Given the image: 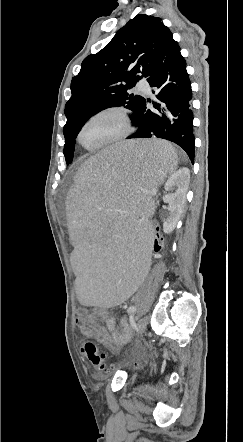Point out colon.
Segmentation results:
<instances>
[{
    "label": "colon",
    "mask_w": 243,
    "mask_h": 442,
    "mask_svg": "<svg viewBox=\"0 0 243 442\" xmlns=\"http://www.w3.org/2000/svg\"><path fill=\"white\" fill-rule=\"evenodd\" d=\"M149 223L151 225H158L160 223V218L158 216H151L149 218ZM164 227L161 225L156 226L154 229L149 231V234L153 237L152 247L153 251L157 254H160L164 251V242L165 237L163 235ZM81 352L93 367L97 368L101 371H107L110 369V366L106 363V356L103 352L99 350L96 343L93 341H84L81 344ZM146 363H151V358H146Z\"/></svg>",
    "instance_id": "colon-1"
}]
</instances>
